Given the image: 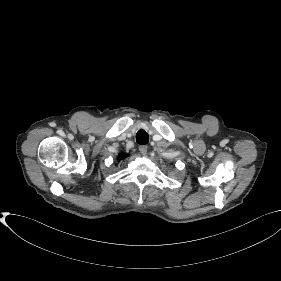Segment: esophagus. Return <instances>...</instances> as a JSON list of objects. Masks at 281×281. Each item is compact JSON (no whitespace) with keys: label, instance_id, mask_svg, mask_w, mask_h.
Here are the masks:
<instances>
[{"label":"esophagus","instance_id":"esophagus-1","mask_svg":"<svg viewBox=\"0 0 281 281\" xmlns=\"http://www.w3.org/2000/svg\"><path fill=\"white\" fill-rule=\"evenodd\" d=\"M148 147L146 145L139 146V151L142 155H145L147 153Z\"/></svg>","mask_w":281,"mask_h":281}]
</instances>
